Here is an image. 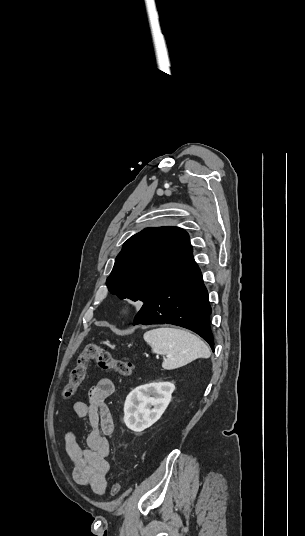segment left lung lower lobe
I'll use <instances>...</instances> for the list:
<instances>
[{
	"label": "left lung lower lobe",
	"instance_id": "left-lung-lower-lobe-1",
	"mask_svg": "<svg viewBox=\"0 0 305 536\" xmlns=\"http://www.w3.org/2000/svg\"><path fill=\"white\" fill-rule=\"evenodd\" d=\"M211 312L201 271L194 262L143 304L133 325H178L197 333L214 351Z\"/></svg>",
	"mask_w": 305,
	"mask_h": 536
}]
</instances>
